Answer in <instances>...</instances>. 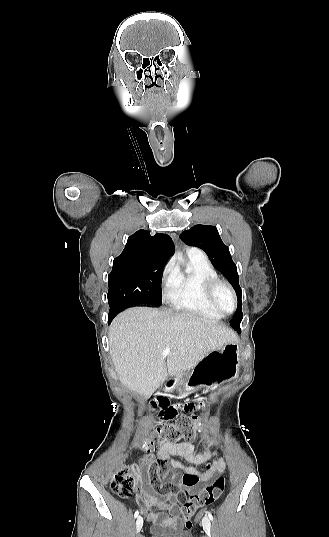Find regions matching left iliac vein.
<instances>
[{
  "instance_id": "4c4485c4",
  "label": "left iliac vein",
  "mask_w": 329,
  "mask_h": 537,
  "mask_svg": "<svg viewBox=\"0 0 329 537\" xmlns=\"http://www.w3.org/2000/svg\"><path fill=\"white\" fill-rule=\"evenodd\" d=\"M202 526H203V529L206 532V534L209 537H211V523H210V520L208 519V517H204L202 519Z\"/></svg>"
}]
</instances>
